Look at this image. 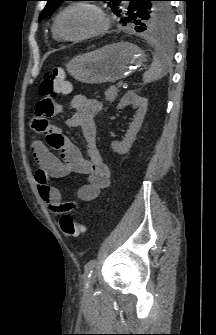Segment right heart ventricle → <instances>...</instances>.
I'll use <instances>...</instances> for the list:
<instances>
[{
	"instance_id": "1",
	"label": "right heart ventricle",
	"mask_w": 216,
	"mask_h": 335,
	"mask_svg": "<svg viewBox=\"0 0 216 335\" xmlns=\"http://www.w3.org/2000/svg\"><path fill=\"white\" fill-rule=\"evenodd\" d=\"M53 37L57 40H61V38L57 35V33L55 32L54 28H53Z\"/></svg>"
}]
</instances>
